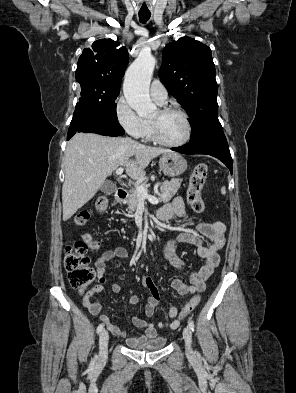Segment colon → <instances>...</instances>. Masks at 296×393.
Instances as JSON below:
<instances>
[{"label":"colon","instance_id":"obj_1","mask_svg":"<svg viewBox=\"0 0 296 393\" xmlns=\"http://www.w3.org/2000/svg\"><path fill=\"white\" fill-rule=\"evenodd\" d=\"M208 173V166L205 163H199L194 167V170L189 179V186L187 190V199L196 213H202L205 210V202L201 196V191L204 186ZM109 200L106 196H100L94 202L92 210H83L75 216V223L77 225H84L92 211L97 213H104L108 208ZM88 249H98V244L93 241L90 235L85 234L82 240L74 242L67 247L65 256V268L68 272V279L70 285L79 291H83L95 277L94 270L89 266V259L86 256ZM200 295L193 296L181 309L179 319H184L192 310L198 305Z\"/></svg>","mask_w":296,"mask_h":393}]
</instances>
